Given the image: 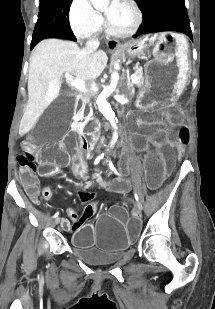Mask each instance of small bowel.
I'll list each match as a JSON object with an SVG mask.
<instances>
[{
    "instance_id": "small-bowel-1",
    "label": "small bowel",
    "mask_w": 215,
    "mask_h": 309,
    "mask_svg": "<svg viewBox=\"0 0 215 309\" xmlns=\"http://www.w3.org/2000/svg\"><path fill=\"white\" fill-rule=\"evenodd\" d=\"M125 190V186L121 185L119 186L118 191H124ZM28 194L30 196L31 199L36 200L38 195H39V188L37 186L36 181L34 180V182L30 185H28ZM80 195V194H79Z\"/></svg>"
}]
</instances>
